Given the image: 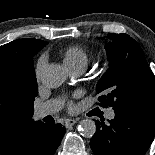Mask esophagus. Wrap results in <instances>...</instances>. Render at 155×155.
Returning a JSON list of instances; mask_svg holds the SVG:
<instances>
[{
	"mask_svg": "<svg viewBox=\"0 0 155 155\" xmlns=\"http://www.w3.org/2000/svg\"><path fill=\"white\" fill-rule=\"evenodd\" d=\"M76 122H77L76 119H67V120L65 121V125H66V127H71V126H73Z\"/></svg>",
	"mask_w": 155,
	"mask_h": 155,
	"instance_id": "34e87169",
	"label": "esophagus"
}]
</instances>
